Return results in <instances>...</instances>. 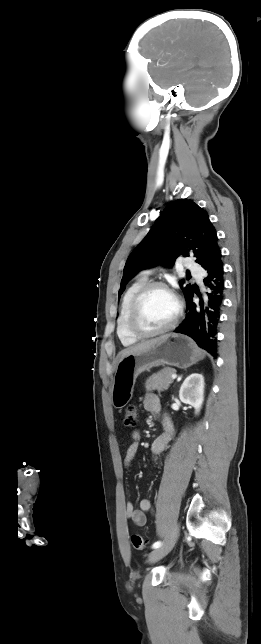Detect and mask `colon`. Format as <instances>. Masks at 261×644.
Masks as SVG:
<instances>
[{"mask_svg": "<svg viewBox=\"0 0 261 644\" xmlns=\"http://www.w3.org/2000/svg\"><path fill=\"white\" fill-rule=\"evenodd\" d=\"M138 422V411L137 408L133 405L127 407L124 414V425L128 428L135 427ZM132 545L137 550H143L146 548L147 541L141 535L135 534L131 538Z\"/></svg>", "mask_w": 261, "mask_h": 644, "instance_id": "1", "label": "colon"}]
</instances>
